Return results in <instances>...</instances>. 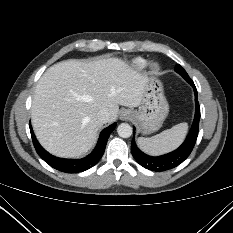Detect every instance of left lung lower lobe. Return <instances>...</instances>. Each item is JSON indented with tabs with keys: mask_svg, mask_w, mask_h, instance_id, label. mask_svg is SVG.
<instances>
[{
	"mask_svg": "<svg viewBox=\"0 0 233 233\" xmlns=\"http://www.w3.org/2000/svg\"><path fill=\"white\" fill-rule=\"evenodd\" d=\"M194 89L195 94V104H196V111L195 117L192 124V127L189 131V134L183 144L173 152L168 154L159 156V157H152L143 153L135 144L134 137L131 143V152L135 160L144 168L149 169L151 171H165L172 168H175L180 163H182L191 153L196 143V139L198 136L199 131V121H200V106L197 99V90L190 79L187 81ZM135 134V131H133Z\"/></svg>",
	"mask_w": 233,
	"mask_h": 233,
	"instance_id": "obj_1",
	"label": "left lung lower lobe"
}]
</instances>
